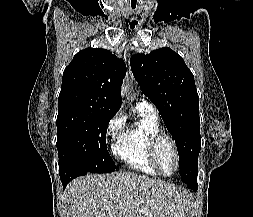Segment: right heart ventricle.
I'll list each match as a JSON object with an SVG mask.
<instances>
[{
	"label": "right heart ventricle",
	"instance_id": "right-heart-ventricle-1",
	"mask_svg": "<svg viewBox=\"0 0 253 217\" xmlns=\"http://www.w3.org/2000/svg\"><path fill=\"white\" fill-rule=\"evenodd\" d=\"M136 112L137 121L118 137L114 153L133 170L147 175H159L147 150L149 139L160 132L158 116L138 107Z\"/></svg>",
	"mask_w": 253,
	"mask_h": 217
}]
</instances>
